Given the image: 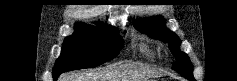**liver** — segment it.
Listing matches in <instances>:
<instances>
[{
  "label": "liver",
  "mask_w": 237,
  "mask_h": 81,
  "mask_svg": "<svg viewBox=\"0 0 237 81\" xmlns=\"http://www.w3.org/2000/svg\"><path fill=\"white\" fill-rule=\"evenodd\" d=\"M127 67L117 66L72 72L62 76L60 81H146L148 78L158 75L157 72L141 65L129 66L130 72L127 71Z\"/></svg>",
  "instance_id": "6515ba94"
}]
</instances>
